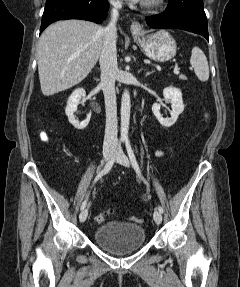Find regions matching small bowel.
<instances>
[{
	"label": "small bowel",
	"mask_w": 240,
	"mask_h": 287,
	"mask_svg": "<svg viewBox=\"0 0 240 287\" xmlns=\"http://www.w3.org/2000/svg\"><path fill=\"white\" fill-rule=\"evenodd\" d=\"M156 155L157 156H162L163 155V152L162 151H157L156 152ZM146 198H145V196H140V200H145Z\"/></svg>",
	"instance_id": "obj_1"
}]
</instances>
